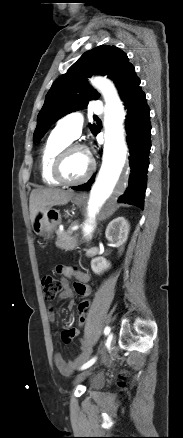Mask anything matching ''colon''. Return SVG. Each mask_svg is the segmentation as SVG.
I'll list each match as a JSON object with an SVG mask.
<instances>
[{
	"label": "colon",
	"instance_id": "1",
	"mask_svg": "<svg viewBox=\"0 0 183 438\" xmlns=\"http://www.w3.org/2000/svg\"><path fill=\"white\" fill-rule=\"evenodd\" d=\"M44 296L46 300H53L60 291V283L53 277L47 276L42 280ZM90 301L84 297L78 304V324L83 327L86 324L88 312L90 309ZM118 383L121 386H127L131 382L130 374L122 371L118 375Z\"/></svg>",
	"mask_w": 183,
	"mask_h": 438
}]
</instances>
